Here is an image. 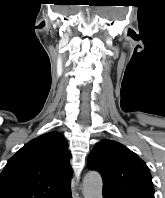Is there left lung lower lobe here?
Listing matches in <instances>:
<instances>
[{"label": "left lung lower lobe", "mask_w": 165, "mask_h": 198, "mask_svg": "<svg viewBox=\"0 0 165 198\" xmlns=\"http://www.w3.org/2000/svg\"><path fill=\"white\" fill-rule=\"evenodd\" d=\"M103 198H123L120 194L115 191L103 187Z\"/></svg>", "instance_id": "0a47b994"}]
</instances>
